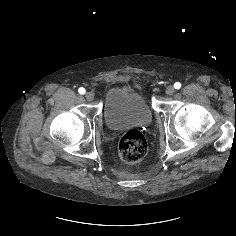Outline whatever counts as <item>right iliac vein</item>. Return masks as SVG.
Instances as JSON below:
<instances>
[{
  "label": "right iliac vein",
  "mask_w": 236,
  "mask_h": 236,
  "mask_svg": "<svg viewBox=\"0 0 236 236\" xmlns=\"http://www.w3.org/2000/svg\"><path fill=\"white\" fill-rule=\"evenodd\" d=\"M85 98L88 100V101H93L94 100V94L92 92H87L85 94Z\"/></svg>",
  "instance_id": "63e3f726"
}]
</instances>
